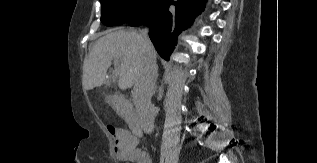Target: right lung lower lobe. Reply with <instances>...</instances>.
I'll use <instances>...</instances> for the list:
<instances>
[{
    "instance_id": "right-lung-lower-lobe-1",
    "label": "right lung lower lobe",
    "mask_w": 317,
    "mask_h": 163,
    "mask_svg": "<svg viewBox=\"0 0 317 163\" xmlns=\"http://www.w3.org/2000/svg\"><path fill=\"white\" fill-rule=\"evenodd\" d=\"M204 3L205 0H161L149 15L130 25L151 24L150 39L160 56L169 60L178 35L193 23ZM171 4L176 7L174 12L169 11Z\"/></svg>"
}]
</instances>
